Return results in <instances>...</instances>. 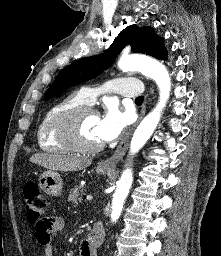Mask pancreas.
I'll return each mask as SVG.
<instances>
[{
    "label": "pancreas",
    "mask_w": 221,
    "mask_h": 256,
    "mask_svg": "<svg viewBox=\"0 0 221 256\" xmlns=\"http://www.w3.org/2000/svg\"><path fill=\"white\" fill-rule=\"evenodd\" d=\"M84 194V190L81 186H75L71 191L68 196V201L69 202H74L75 204L81 203L82 202V196Z\"/></svg>",
    "instance_id": "1"
}]
</instances>
